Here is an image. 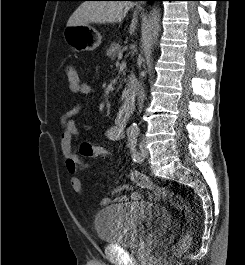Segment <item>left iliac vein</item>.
<instances>
[{"mask_svg": "<svg viewBox=\"0 0 245 265\" xmlns=\"http://www.w3.org/2000/svg\"><path fill=\"white\" fill-rule=\"evenodd\" d=\"M139 148H140V155H141V158H146L148 156V150L145 146V143L144 141H141L140 144H139Z\"/></svg>", "mask_w": 245, "mask_h": 265, "instance_id": "left-iliac-vein-1", "label": "left iliac vein"}]
</instances>
